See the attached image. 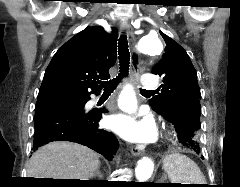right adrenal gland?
Returning a JSON list of instances; mask_svg holds the SVG:
<instances>
[{"label":"right adrenal gland","instance_id":"right-adrenal-gland-1","mask_svg":"<svg viewBox=\"0 0 240 187\" xmlns=\"http://www.w3.org/2000/svg\"><path fill=\"white\" fill-rule=\"evenodd\" d=\"M94 177L103 178V175L101 174V171L99 169L94 173Z\"/></svg>","mask_w":240,"mask_h":187}]
</instances>
